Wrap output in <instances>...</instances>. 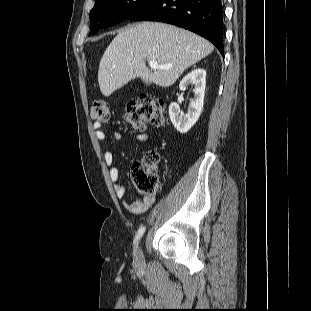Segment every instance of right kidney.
I'll use <instances>...</instances> for the list:
<instances>
[{"mask_svg":"<svg viewBox=\"0 0 311 311\" xmlns=\"http://www.w3.org/2000/svg\"><path fill=\"white\" fill-rule=\"evenodd\" d=\"M190 84H194V99L191 100L188 113L184 115L175 102L169 106L170 120L177 131L182 134L187 133L201 115L204 104L206 71L201 68L194 69L182 79L179 89L185 91Z\"/></svg>","mask_w":311,"mask_h":311,"instance_id":"1","label":"right kidney"}]
</instances>
